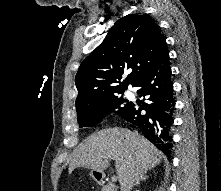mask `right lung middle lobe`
<instances>
[{
    "instance_id": "right-lung-middle-lobe-1",
    "label": "right lung middle lobe",
    "mask_w": 221,
    "mask_h": 191,
    "mask_svg": "<svg viewBox=\"0 0 221 191\" xmlns=\"http://www.w3.org/2000/svg\"><path fill=\"white\" fill-rule=\"evenodd\" d=\"M131 106V102L125 100L119 95L106 99L82 112L77 113L79 126H94L101 122L102 119L110 113H115L123 118L129 112Z\"/></svg>"
}]
</instances>
